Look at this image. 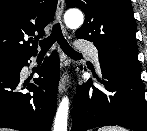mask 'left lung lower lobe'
Segmentation results:
<instances>
[{"instance_id":"1","label":"left lung lower lobe","mask_w":147,"mask_h":131,"mask_svg":"<svg viewBox=\"0 0 147 131\" xmlns=\"http://www.w3.org/2000/svg\"><path fill=\"white\" fill-rule=\"evenodd\" d=\"M100 66L104 78L100 82L105 88H90L88 83L77 88L71 131L109 125L147 131V102L141 77L109 64Z\"/></svg>"}]
</instances>
